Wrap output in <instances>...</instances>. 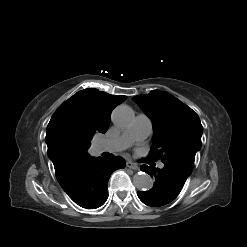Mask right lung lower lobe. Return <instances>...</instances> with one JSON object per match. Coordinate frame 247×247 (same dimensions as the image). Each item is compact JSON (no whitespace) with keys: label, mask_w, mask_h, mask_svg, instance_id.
Here are the masks:
<instances>
[{"label":"right lung lower lobe","mask_w":247,"mask_h":247,"mask_svg":"<svg viewBox=\"0 0 247 247\" xmlns=\"http://www.w3.org/2000/svg\"><path fill=\"white\" fill-rule=\"evenodd\" d=\"M125 160L91 158L56 170V177L69 197L79 206L96 209L108 198L107 184L113 171L125 168Z\"/></svg>","instance_id":"right-lung-lower-lobe-1"}]
</instances>
